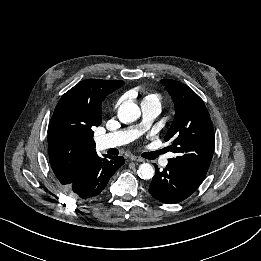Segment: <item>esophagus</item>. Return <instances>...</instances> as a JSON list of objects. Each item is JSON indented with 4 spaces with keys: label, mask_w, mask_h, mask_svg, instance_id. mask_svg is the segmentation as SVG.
Returning <instances> with one entry per match:
<instances>
[{
    "label": "esophagus",
    "mask_w": 261,
    "mask_h": 261,
    "mask_svg": "<svg viewBox=\"0 0 261 261\" xmlns=\"http://www.w3.org/2000/svg\"><path fill=\"white\" fill-rule=\"evenodd\" d=\"M130 159H131L132 161H138V162H144V161H145L143 158H141V157H139V156H135V155H132V156L130 157Z\"/></svg>",
    "instance_id": "34e87169"
}]
</instances>
